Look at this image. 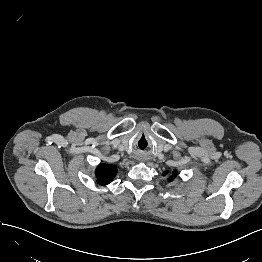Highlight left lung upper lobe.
Listing matches in <instances>:
<instances>
[{
	"mask_svg": "<svg viewBox=\"0 0 262 262\" xmlns=\"http://www.w3.org/2000/svg\"><path fill=\"white\" fill-rule=\"evenodd\" d=\"M165 174H166V173H164V175H165ZM173 176H176V171L173 172ZM169 180H171V178H170Z\"/></svg>",
	"mask_w": 262,
	"mask_h": 262,
	"instance_id": "5c2ea615",
	"label": "left lung upper lobe"
}]
</instances>
